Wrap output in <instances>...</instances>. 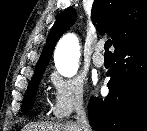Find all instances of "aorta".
<instances>
[{
  "label": "aorta",
  "mask_w": 147,
  "mask_h": 131,
  "mask_svg": "<svg viewBox=\"0 0 147 131\" xmlns=\"http://www.w3.org/2000/svg\"><path fill=\"white\" fill-rule=\"evenodd\" d=\"M80 58V45L74 34L63 36L57 44L54 60L57 71L65 77L77 73Z\"/></svg>",
  "instance_id": "aorta-1"
}]
</instances>
